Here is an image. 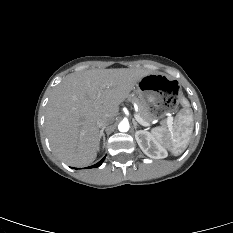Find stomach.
Wrapping results in <instances>:
<instances>
[{
	"label": "stomach",
	"instance_id": "0dacf381",
	"mask_svg": "<svg viewBox=\"0 0 233 233\" xmlns=\"http://www.w3.org/2000/svg\"><path fill=\"white\" fill-rule=\"evenodd\" d=\"M181 85L172 77L160 73H148L136 84L135 93L148 107L152 119L170 116L180 98Z\"/></svg>",
	"mask_w": 233,
	"mask_h": 233
}]
</instances>
